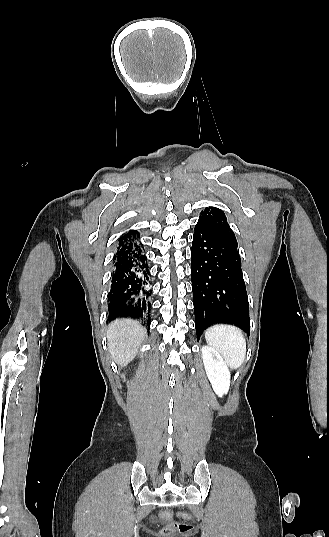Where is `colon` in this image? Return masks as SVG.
I'll return each instance as SVG.
<instances>
[{
  "label": "colon",
  "mask_w": 329,
  "mask_h": 537,
  "mask_svg": "<svg viewBox=\"0 0 329 537\" xmlns=\"http://www.w3.org/2000/svg\"><path fill=\"white\" fill-rule=\"evenodd\" d=\"M161 516L165 520H170L173 518L174 513L170 509H165L162 511ZM179 516L183 518L184 521L170 522L165 528V531L167 533L184 535V534H189L194 530V526L187 521L186 513H180Z\"/></svg>",
  "instance_id": "5ec220e1"
}]
</instances>
